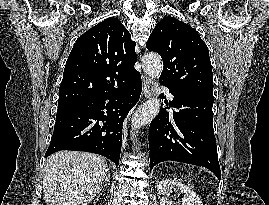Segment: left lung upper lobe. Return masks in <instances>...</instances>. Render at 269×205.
Masks as SVG:
<instances>
[{"label":"left lung upper lobe","mask_w":269,"mask_h":205,"mask_svg":"<svg viewBox=\"0 0 269 205\" xmlns=\"http://www.w3.org/2000/svg\"><path fill=\"white\" fill-rule=\"evenodd\" d=\"M146 47L161 55L160 83L180 95L213 96V73L209 51L198 32L173 17L157 23Z\"/></svg>","instance_id":"5c2ea615"}]
</instances>
